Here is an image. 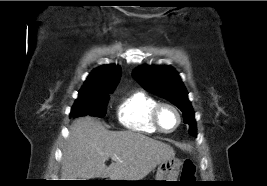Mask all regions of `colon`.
I'll return each instance as SVG.
<instances>
[{
    "instance_id": "colon-1",
    "label": "colon",
    "mask_w": 267,
    "mask_h": 186,
    "mask_svg": "<svg viewBox=\"0 0 267 186\" xmlns=\"http://www.w3.org/2000/svg\"><path fill=\"white\" fill-rule=\"evenodd\" d=\"M196 174V165L193 160L186 159L183 162L181 170V179L185 182L194 181Z\"/></svg>"
}]
</instances>
